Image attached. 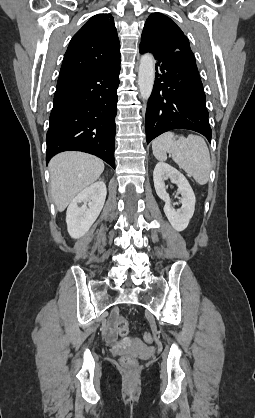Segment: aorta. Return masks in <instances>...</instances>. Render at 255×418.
I'll return each instance as SVG.
<instances>
[{
  "label": "aorta",
  "instance_id": "aorta-1",
  "mask_svg": "<svg viewBox=\"0 0 255 418\" xmlns=\"http://www.w3.org/2000/svg\"><path fill=\"white\" fill-rule=\"evenodd\" d=\"M155 78V61L151 54H144L141 57L139 72H138V85L140 95L143 100H148L152 93Z\"/></svg>",
  "mask_w": 255,
  "mask_h": 418
}]
</instances>
